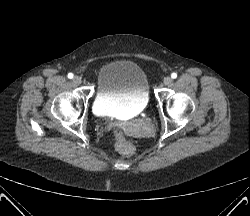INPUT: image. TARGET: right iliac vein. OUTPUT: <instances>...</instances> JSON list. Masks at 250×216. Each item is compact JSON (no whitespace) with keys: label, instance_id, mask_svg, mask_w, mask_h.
<instances>
[{"label":"right iliac vein","instance_id":"obj_1","mask_svg":"<svg viewBox=\"0 0 250 216\" xmlns=\"http://www.w3.org/2000/svg\"><path fill=\"white\" fill-rule=\"evenodd\" d=\"M73 82H74L75 84H77V85H80V84L82 83V79H81V77H79V76H75V77L73 78Z\"/></svg>","mask_w":250,"mask_h":216}]
</instances>
